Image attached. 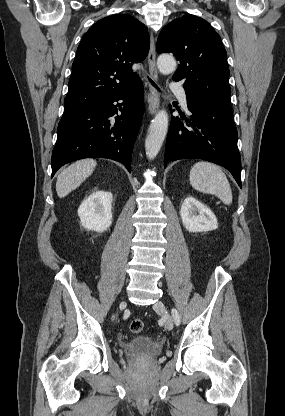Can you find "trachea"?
<instances>
[{
  "mask_svg": "<svg viewBox=\"0 0 285 416\" xmlns=\"http://www.w3.org/2000/svg\"><path fill=\"white\" fill-rule=\"evenodd\" d=\"M149 82L151 83V85L156 88V90H158L159 92H161V90L157 87V85H155V83L148 77Z\"/></svg>",
  "mask_w": 285,
  "mask_h": 416,
  "instance_id": "obj_1",
  "label": "trachea"
}]
</instances>
